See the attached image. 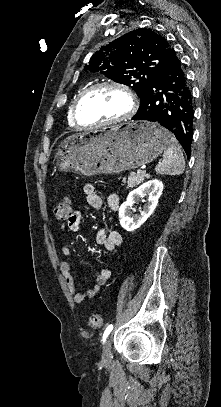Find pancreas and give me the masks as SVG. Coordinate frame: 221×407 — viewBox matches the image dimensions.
Masks as SVG:
<instances>
[{
    "label": "pancreas",
    "instance_id": "cf45deb5",
    "mask_svg": "<svg viewBox=\"0 0 221 407\" xmlns=\"http://www.w3.org/2000/svg\"><path fill=\"white\" fill-rule=\"evenodd\" d=\"M145 174H135L131 173L128 177V180H123V183H127V188H134L136 185H139L144 181Z\"/></svg>",
    "mask_w": 221,
    "mask_h": 407
}]
</instances>
